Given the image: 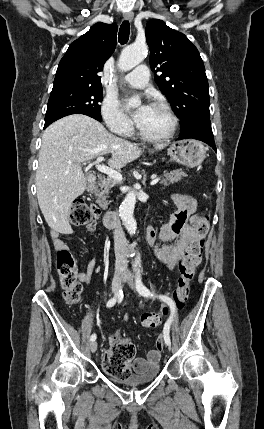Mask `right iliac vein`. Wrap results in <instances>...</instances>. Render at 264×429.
<instances>
[{
	"label": "right iliac vein",
	"instance_id": "right-iliac-vein-1",
	"mask_svg": "<svg viewBox=\"0 0 264 429\" xmlns=\"http://www.w3.org/2000/svg\"><path fill=\"white\" fill-rule=\"evenodd\" d=\"M121 277H122L121 273H117L114 276V279L112 282V287H111V292L113 295H116L119 291ZM90 350L92 353L96 352V350H97V342L96 341H92V343L90 344Z\"/></svg>",
	"mask_w": 264,
	"mask_h": 429
}]
</instances>
